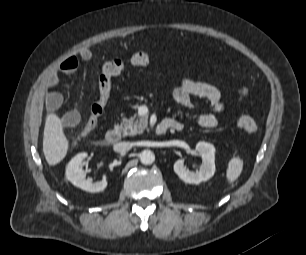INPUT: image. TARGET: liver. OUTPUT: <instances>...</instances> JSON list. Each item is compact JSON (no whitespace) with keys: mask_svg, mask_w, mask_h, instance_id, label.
Returning <instances> with one entry per match:
<instances>
[{"mask_svg":"<svg viewBox=\"0 0 306 255\" xmlns=\"http://www.w3.org/2000/svg\"><path fill=\"white\" fill-rule=\"evenodd\" d=\"M69 141L63 131V124L60 118L54 114H48L46 118L43 153L50 166L60 163L67 155Z\"/></svg>","mask_w":306,"mask_h":255,"instance_id":"1","label":"liver"}]
</instances>
